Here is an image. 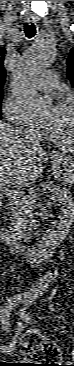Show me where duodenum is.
Here are the masks:
<instances>
[{
	"instance_id": "duodenum-1",
	"label": "duodenum",
	"mask_w": 74,
	"mask_h": 366,
	"mask_svg": "<svg viewBox=\"0 0 74 366\" xmlns=\"http://www.w3.org/2000/svg\"><path fill=\"white\" fill-rule=\"evenodd\" d=\"M3 236L5 240L15 244L16 239L14 237H11L9 232H5ZM59 240L60 236L57 233H46L43 236L40 244L38 245V251L40 252L50 251L59 242ZM20 250L22 255L33 258L34 252L30 248L21 245Z\"/></svg>"
}]
</instances>
